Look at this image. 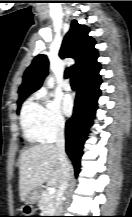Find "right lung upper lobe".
Here are the masks:
<instances>
[{"instance_id": "right-lung-upper-lobe-1", "label": "right lung upper lobe", "mask_w": 132, "mask_h": 217, "mask_svg": "<svg viewBox=\"0 0 132 217\" xmlns=\"http://www.w3.org/2000/svg\"><path fill=\"white\" fill-rule=\"evenodd\" d=\"M89 29L73 20L64 37L59 56L71 57L75 64L65 71V77L75 76L78 82L88 81L99 76L100 64L95 41L88 36ZM49 62L46 55H38L24 73L23 83L19 88V99L26 98L38 90L48 74Z\"/></svg>"}]
</instances>
